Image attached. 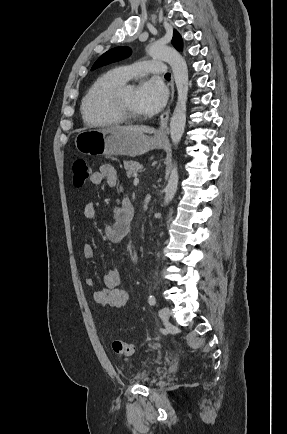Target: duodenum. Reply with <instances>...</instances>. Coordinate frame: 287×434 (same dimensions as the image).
Segmentation results:
<instances>
[{"label": "duodenum", "mask_w": 287, "mask_h": 434, "mask_svg": "<svg viewBox=\"0 0 287 434\" xmlns=\"http://www.w3.org/2000/svg\"><path fill=\"white\" fill-rule=\"evenodd\" d=\"M125 213H126V217H127L129 224H131L133 219H134V216H135V209L131 203L126 204Z\"/></svg>", "instance_id": "1"}]
</instances>
